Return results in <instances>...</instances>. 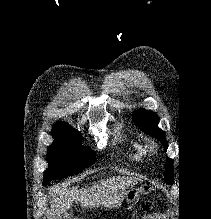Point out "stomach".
<instances>
[{
	"instance_id": "0dacf381",
	"label": "stomach",
	"mask_w": 211,
	"mask_h": 219,
	"mask_svg": "<svg viewBox=\"0 0 211 219\" xmlns=\"http://www.w3.org/2000/svg\"><path fill=\"white\" fill-rule=\"evenodd\" d=\"M151 190L152 188L149 185H143L140 188H130L126 191L124 200L129 203L133 202L140 196V194L149 193Z\"/></svg>"
}]
</instances>
